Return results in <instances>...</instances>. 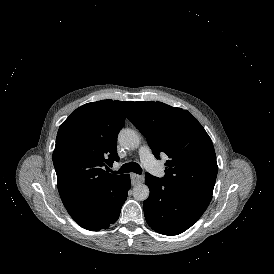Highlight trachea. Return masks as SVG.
<instances>
[{
    "instance_id": "trachea-1",
    "label": "trachea",
    "mask_w": 274,
    "mask_h": 274,
    "mask_svg": "<svg viewBox=\"0 0 274 274\" xmlns=\"http://www.w3.org/2000/svg\"><path fill=\"white\" fill-rule=\"evenodd\" d=\"M131 171L134 173H137V174H141L142 168L140 167V165L138 163L130 162V163H125L124 165H122V167L115 173L122 174V173L131 172Z\"/></svg>"
}]
</instances>
